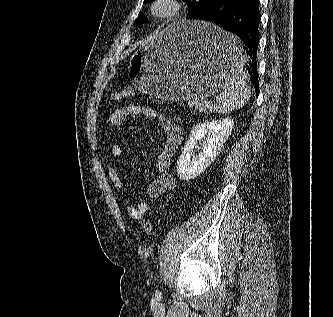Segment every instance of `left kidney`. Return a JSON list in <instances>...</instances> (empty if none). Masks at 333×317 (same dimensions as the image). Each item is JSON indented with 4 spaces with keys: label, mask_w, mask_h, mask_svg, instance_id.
Segmentation results:
<instances>
[{
    "label": "left kidney",
    "mask_w": 333,
    "mask_h": 317,
    "mask_svg": "<svg viewBox=\"0 0 333 317\" xmlns=\"http://www.w3.org/2000/svg\"><path fill=\"white\" fill-rule=\"evenodd\" d=\"M233 127L234 121L228 118L197 124L191 130L189 140L178 159L176 166L178 177L182 180H190L204 172L219 155ZM202 138H204L202 151L194 156L193 149Z\"/></svg>",
    "instance_id": "left-kidney-1"
}]
</instances>
